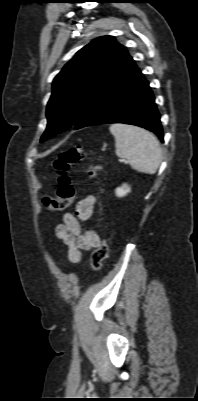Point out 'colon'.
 Here are the masks:
<instances>
[{
	"label": "colon",
	"instance_id": "obj_1",
	"mask_svg": "<svg viewBox=\"0 0 198 401\" xmlns=\"http://www.w3.org/2000/svg\"><path fill=\"white\" fill-rule=\"evenodd\" d=\"M83 157V150L80 145L72 146L61 152L54 160V167L58 172V188L55 196H45L43 203L51 211H61L67 208L75 197V188L67 171L80 161ZM100 171L98 164H92L89 174L95 176ZM108 254V244L103 239L91 256L92 267L95 271L102 268L103 262Z\"/></svg>",
	"mask_w": 198,
	"mask_h": 401
}]
</instances>
